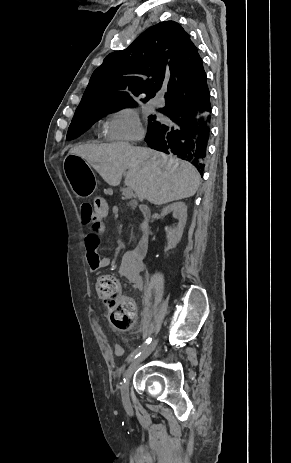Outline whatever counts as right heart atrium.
Returning a JSON list of instances; mask_svg holds the SVG:
<instances>
[{
	"label": "right heart atrium",
	"mask_w": 291,
	"mask_h": 463,
	"mask_svg": "<svg viewBox=\"0 0 291 463\" xmlns=\"http://www.w3.org/2000/svg\"><path fill=\"white\" fill-rule=\"evenodd\" d=\"M104 136L114 141H135L143 134L138 113L133 108L119 109L107 118Z\"/></svg>",
	"instance_id": "obj_1"
}]
</instances>
